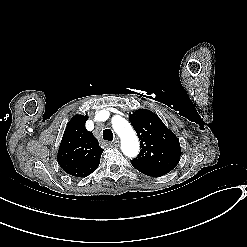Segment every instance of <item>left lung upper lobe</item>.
<instances>
[{
	"mask_svg": "<svg viewBox=\"0 0 247 247\" xmlns=\"http://www.w3.org/2000/svg\"><path fill=\"white\" fill-rule=\"evenodd\" d=\"M140 140L139 155L131 161L133 166L170 172L179 162L181 147L178 138L153 112L136 110L129 116Z\"/></svg>",
	"mask_w": 247,
	"mask_h": 247,
	"instance_id": "1",
	"label": "left lung upper lobe"
}]
</instances>
